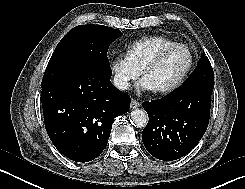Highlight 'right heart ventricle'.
<instances>
[{
	"instance_id": "obj_1",
	"label": "right heart ventricle",
	"mask_w": 245,
	"mask_h": 189,
	"mask_svg": "<svg viewBox=\"0 0 245 189\" xmlns=\"http://www.w3.org/2000/svg\"><path fill=\"white\" fill-rule=\"evenodd\" d=\"M175 43L165 35H153L131 42L126 47V57L141 71L146 63L164 46Z\"/></svg>"
}]
</instances>
